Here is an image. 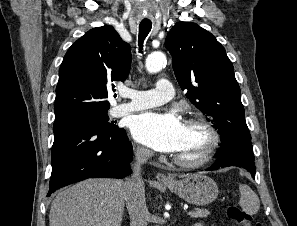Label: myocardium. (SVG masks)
Returning <instances> with one entry per match:
<instances>
[{"label": "myocardium", "mask_w": 297, "mask_h": 226, "mask_svg": "<svg viewBox=\"0 0 297 226\" xmlns=\"http://www.w3.org/2000/svg\"><path fill=\"white\" fill-rule=\"evenodd\" d=\"M185 125H199L201 126L209 136L208 143L204 151L196 158L186 159L180 156L174 155V162L185 168H197L207 164L215 155L219 145L221 143V137L216 127L203 116H192L185 120Z\"/></svg>", "instance_id": "f54148a6"}]
</instances>
